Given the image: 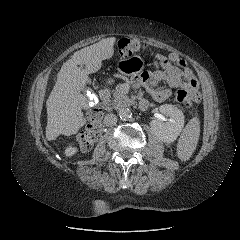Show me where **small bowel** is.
I'll return each instance as SVG.
<instances>
[{
    "instance_id": "obj_1",
    "label": "small bowel",
    "mask_w": 240,
    "mask_h": 240,
    "mask_svg": "<svg viewBox=\"0 0 240 240\" xmlns=\"http://www.w3.org/2000/svg\"><path fill=\"white\" fill-rule=\"evenodd\" d=\"M156 59L162 69L155 70L150 74L143 73L141 78L133 81L135 87L144 85L157 102L165 101L172 94L170 89L159 87L162 82L167 83L174 89H185L193 95L195 101L200 99L196 76L184 60L176 54H169L168 56L157 54ZM142 100L147 102L145 99Z\"/></svg>"
}]
</instances>
